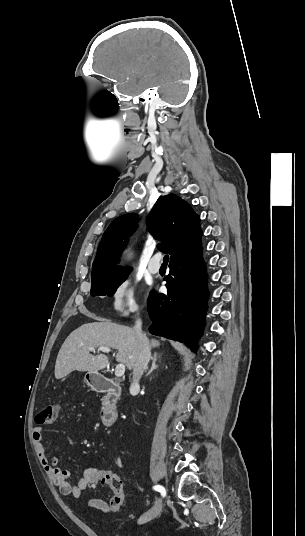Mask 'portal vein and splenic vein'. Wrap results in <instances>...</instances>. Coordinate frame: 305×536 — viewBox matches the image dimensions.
<instances>
[{
	"label": "portal vein and splenic vein",
	"instance_id": "1",
	"mask_svg": "<svg viewBox=\"0 0 305 536\" xmlns=\"http://www.w3.org/2000/svg\"><path fill=\"white\" fill-rule=\"evenodd\" d=\"M88 350H90V352H94L95 348H88ZM98 350L99 352H106V354L110 352V348H104V346H99ZM124 374H125L124 364H118V366H116L115 368V376H117V378H121V376H124Z\"/></svg>",
	"mask_w": 305,
	"mask_h": 536
}]
</instances>
